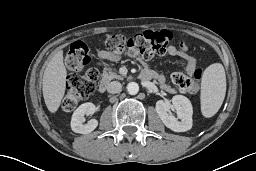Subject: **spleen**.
<instances>
[{"instance_id":"1","label":"spleen","mask_w":256,"mask_h":171,"mask_svg":"<svg viewBox=\"0 0 256 171\" xmlns=\"http://www.w3.org/2000/svg\"><path fill=\"white\" fill-rule=\"evenodd\" d=\"M226 94V76L222 64L208 66L201 81V112L204 117L214 116L220 109Z\"/></svg>"}]
</instances>
